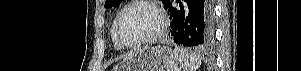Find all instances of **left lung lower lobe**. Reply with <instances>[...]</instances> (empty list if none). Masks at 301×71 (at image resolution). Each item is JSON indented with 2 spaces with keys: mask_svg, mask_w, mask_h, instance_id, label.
Wrapping results in <instances>:
<instances>
[{
  "mask_svg": "<svg viewBox=\"0 0 301 71\" xmlns=\"http://www.w3.org/2000/svg\"><path fill=\"white\" fill-rule=\"evenodd\" d=\"M173 0L165 5L170 12L174 42L184 46L205 48L214 40V14L211 0Z\"/></svg>",
  "mask_w": 301,
  "mask_h": 71,
  "instance_id": "left-lung-lower-lobe-1",
  "label": "left lung lower lobe"
}]
</instances>
